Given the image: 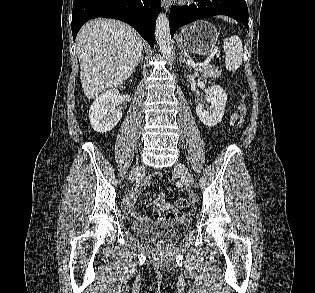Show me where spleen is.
Listing matches in <instances>:
<instances>
[{
    "instance_id": "1",
    "label": "spleen",
    "mask_w": 315,
    "mask_h": 293,
    "mask_svg": "<svg viewBox=\"0 0 315 293\" xmlns=\"http://www.w3.org/2000/svg\"><path fill=\"white\" fill-rule=\"evenodd\" d=\"M226 55L225 66L229 71H236L242 64L243 46L238 36L226 38L223 43Z\"/></svg>"
}]
</instances>
